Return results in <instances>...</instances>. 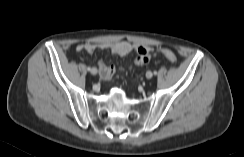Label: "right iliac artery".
Segmentation results:
<instances>
[{
  "instance_id": "82829eb1",
  "label": "right iliac artery",
  "mask_w": 244,
  "mask_h": 157,
  "mask_svg": "<svg viewBox=\"0 0 244 157\" xmlns=\"http://www.w3.org/2000/svg\"><path fill=\"white\" fill-rule=\"evenodd\" d=\"M87 70H88V71H91V70H92V68H91V67H88V68H87Z\"/></svg>"
}]
</instances>
